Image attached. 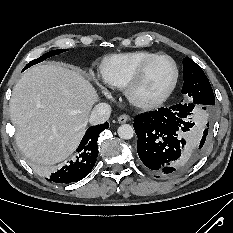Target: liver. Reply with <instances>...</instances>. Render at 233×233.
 <instances>
[{"mask_svg":"<svg viewBox=\"0 0 233 233\" xmlns=\"http://www.w3.org/2000/svg\"><path fill=\"white\" fill-rule=\"evenodd\" d=\"M98 94L79 69L36 65L15 84L9 104L19 149L34 163L56 164L80 143Z\"/></svg>","mask_w":233,"mask_h":233,"instance_id":"obj_1","label":"liver"}]
</instances>
